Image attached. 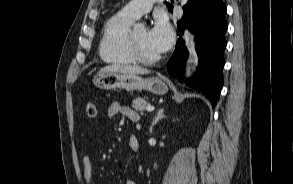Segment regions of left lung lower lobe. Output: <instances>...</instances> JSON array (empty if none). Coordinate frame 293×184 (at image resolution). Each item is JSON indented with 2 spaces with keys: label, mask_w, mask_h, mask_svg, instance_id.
<instances>
[{
  "label": "left lung lower lobe",
  "mask_w": 293,
  "mask_h": 184,
  "mask_svg": "<svg viewBox=\"0 0 293 184\" xmlns=\"http://www.w3.org/2000/svg\"><path fill=\"white\" fill-rule=\"evenodd\" d=\"M184 15L177 23L179 40L170 58L167 69L174 78L182 79L187 51L181 38L188 27L195 33L199 67L187 83L201 91L215 107L223 86V52L226 47L225 32L228 25L225 19L226 6L223 0H188L183 7Z\"/></svg>",
  "instance_id": "1"
}]
</instances>
